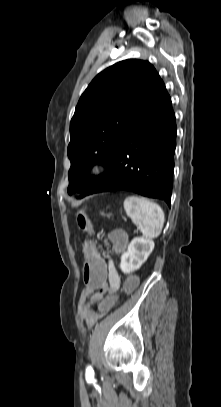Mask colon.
I'll return each instance as SVG.
<instances>
[{"label": "colon", "instance_id": "colon-1", "mask_svg": "<svg viewBox=\"0 0 221 407\" xmlns=\"http://www.w3.org/2000/svg\"><path fill=\"white\" fill-rule=\"evenodd\" d=\"M79 227L86 233L91 234L92 224L84 210H81L77 216ZM110 242L116 251H120L126 244V236L123 232L113 231L110 234ZM85 256L84 271L82 274L83 284L86 292H101L102 286L108 285L109 268L106 265V258H103L102 252H97L94 242L87 238L83 245ZM140 278L138 275H129L124 285L117 287V292H107L99 302V311L101 313H110L112 308L120 304L124 295L138 290Z\"/></svg>", "mask_w": 221, "mask_h": 407}]
</instances>
